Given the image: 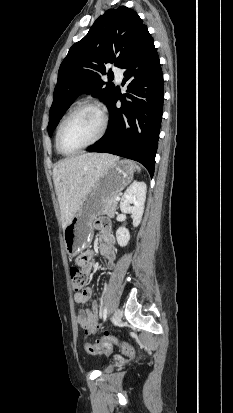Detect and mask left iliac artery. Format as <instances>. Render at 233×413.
Masks as SVG:
<instances>
[{
	"label": "left iliac artery",
	"mask_w": 233,
	"mask_h": 413,
	"mask_svg": "<svg viewBox=\"0 0 233 413\" xmlns=\"http://www.w3.org/2000/svg\"><path fill=\"white\" fill-rule=\"evenodd\" d=\"M107 318V308L105 307L103 310V320L105 321Z\"/></svg>",
	"instance_id": "left-iliac-artery-1"
}]
</instances>
